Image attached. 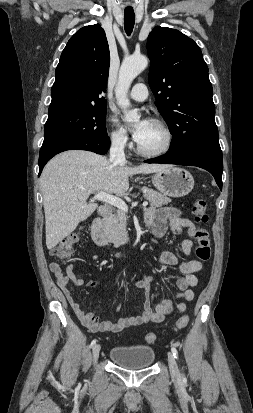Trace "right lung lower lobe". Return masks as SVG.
<instances>
[{"label":"right lung lower lobe","mask_w":253,"mask_h":413,"mask_svg":"<svg viewBox=\"0 0 253 413\" xmlns=\"http://www.w3.org/2000/svg\"><path fill=\"white\" fill-rule=\"evenodd\" d=\"M110 146L109 137L95 140H79V139H69L57 141L45 146H42L39 154V175L42 172L45 164L56 154L66 151V150H87L92 151L100 155L106 154Z\"/></svg>","instance_id":"obj_1"}]
</instances>
